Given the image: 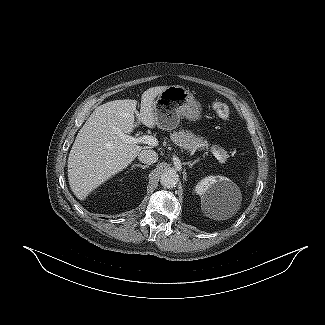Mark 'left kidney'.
<instances>
[{
    "instance_id": "obj_1",
    "label": "left kidney",
    "mask_w": 325,
    "mask_h": 325,
    "mask_svg": "<svg viewBox=\"0 0 325 325\" xmlns=\"http://www.w3.org/2000/svg\"><path fill=\"white\" fill-rule=\"evenodd\" d=\"M235 185L223 176H208L196 185V193L200 195L203 204L208 203L217 207L227 205V199Z\"/></svg>"
}]
</instances>
